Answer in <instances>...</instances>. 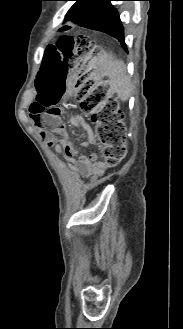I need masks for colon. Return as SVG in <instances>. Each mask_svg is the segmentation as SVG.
<instances>
[{"label":"colon","mask_w":183,"mask_h":329,"mask_svg":"<svg viewBox=\"0 0 183 329\" xmlns=\"http://www.w3.org/2000/svg\"><path fill=\"white\" fill-rule=\"evenodd\" d=\"M61 36L57 37V43L46 51L45 55H39L38 73L42 74V81H35L38 88L35 102L30 108L33 116H40L52 122L44 125L42 129L47 132H56L53 124L59 115L63 103H79L81 110L90 115L96 126V138L101 146L103 164L113 167L122 161L127 154L126 125L123 115L114 100L107 98V86H94L93 79L87 74H81L72 83L71 68L76 67L90 44H96V37L67 36L65 32H74V25H61ZM92 61H97V56H92ZM76 61V62H75ZM104 62H112V55H104ZM73 96H67L70 94Z\"/></svg>","instance_id":"colon-1"}]
</instances>
